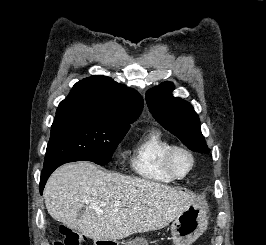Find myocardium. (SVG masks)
<instances>
[{
    "mask_svg": "<svg viewBox=\"0 0 266 245\" xmlns=\"http://www.w3.org/2000/svg\"><path fill=\"white\" fill-rule=\"evenodd\" d=\"M179 152H183V153L187 154L191 160L190 169L183 176L178 175L176 172V169L174 167V157ZM164 161H165V166H166L167 171L177 180H183V179L188 178L193 173V171L195 170V167H196L195 153L190 148L183 146V145H175V144L172 145L166 151Z\"/></svg>",
    "mask_w": 266,
    "mask_h": 245,
    "instance_id": "myocardium-1",
    "label": "myocardium"
}]
</instances>
